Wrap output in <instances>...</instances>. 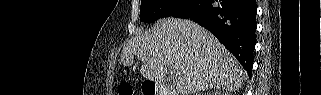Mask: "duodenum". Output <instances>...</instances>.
<instances>
[{"label": "duodenum", "mask_w": 321, "mask_h": 95, "mask_svg": "<svg viewBox=\"0 0 321 95\" xmlns=\"http://www.w3.org/2000/svg\"><path fill=\"white\" fill-rule=\"evenodd\" d=\"M162 93L157 89L156 92H155V95H161ZM166 95H169V94H166Z\"/></svg>", "instance_id": "1"}]
</instances>
